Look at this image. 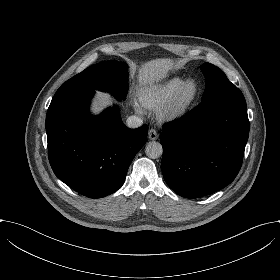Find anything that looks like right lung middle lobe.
<instances>
[{
    "mask_svg": "<svg viewBox=\"0 0 280 280\" xmlns=\"http://www.w3.org/2000/svg\"><path fill=\"white\" fill-rule=\"evenodd\" d=\"M64 87L110 92L122 100L128 91V66L125 62L103 61L86 68L63 83L60 88Z\"/></svg>",
    "mask_w": 280,
    "mask_h": 280,
    "instance_id": "obj_1",
    "label": "right lung middle lobe"
}]
</instances>
